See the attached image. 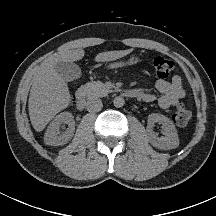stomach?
<instances>
[{
	"mask_svg": "<svg viewBox=\"0 0 216 216\" xmlns=\"http://www.w3.org/2000/svg\"><path fill=\"white\" fill-rule=\"evenodd\" d=\"M139 62H140V58L138 56L133 55L129 58L128 61L112 64L111 67L114 68V67H123V66H127V65H135Z\"/></svg>",
	"mask_w": 216,
	"mask_h": 216,
	"instance_id": "0dacf381",
	"label": "stomach"
}]
</instances>
